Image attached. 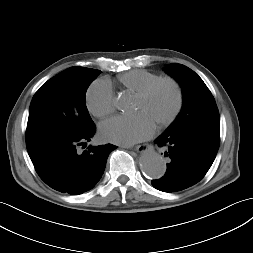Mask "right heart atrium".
<instances>
[{
    "instance_id": "d8ad5b80",
    "label": "right heart atrium",
    "mask_w": 253,
    "mask_h": 253,
    "mask_svg": "<svg viewBox=\"0 0 253 253\" xmlns=\"http://www.w3.org/2000/svg\"><path fill=\"white\" fill-rule=\"evenodd\" d=\"M85 102L88 111L103 118L114 111V94L111 85L103 79L94 81L87 89Z\"/></svg>"
}]
</instances>
